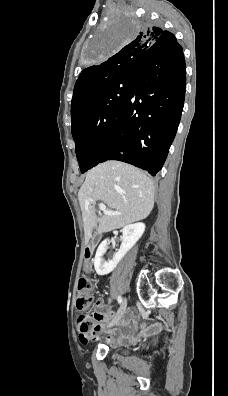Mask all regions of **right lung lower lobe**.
I'll return each instance as SVG.
<instances>
[{"label": "right lung lower lobe", "mask_w": 228, "mask_h": 396, "mask_svg": "<svg viewBox=\"0 0 228 396\" xmlns=\"http://www.w3.org/2000/svg\"><path fill=\"white\" fill-rule=\"evenodd\" d=\"M185 89V58L179 44L148 53L132 75L101 162L123 161L155 176L175 137Z\"/></svg>", "instance_id": "1"}]
</instances>
